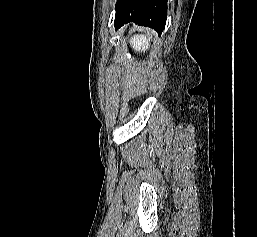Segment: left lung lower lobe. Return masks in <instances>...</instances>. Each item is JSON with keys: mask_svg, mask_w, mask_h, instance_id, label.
I'll list each match as a JSON object with an SVG mask.
<instances>
[{"mask_svg": "<svg viewBox=\"0 0 257 237\" xmlns=\"http://www.w3.org/2000/svg\"><path fill=\"white\" fill-rule=\"evenodd\" d=\"M167 0H117L115 27L128 22L153 28L160 35L165 28Z\"/></svg>", "mask_w": 257, "mask_h": 237, "instance_id": "left-lung-lower-lobe-1", "label": "left lung lower lobe"}]
</instances>
